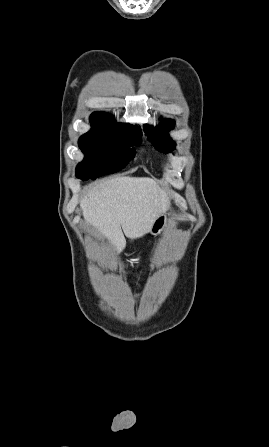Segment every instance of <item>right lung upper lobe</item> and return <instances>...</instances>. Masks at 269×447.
<instances>
[{"instance_id":"obj_1","label":"right lung upper lobe","mask_w":269,"mask_h":447,"mask_svg":"<svg viewBox=\"0 0 269 447\" xmlns=\"http://www.w3.org/2000/svg\"><path fill=\"white\" fill-rule=\"evenodd\" d=\"M91 124L105 126V127H130L128 124L115 123L114 117L105 114L104 112H94L90 116Z\"/></svg>"}]
</instances>
